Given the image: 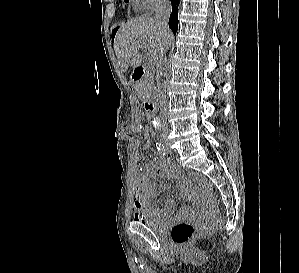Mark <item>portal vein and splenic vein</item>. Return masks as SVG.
<instances>
[{
    "mask_svg": "<svg viewBox=\"0 0 299 273\" xmlns=\"http://www.w3.org/2000/svg\"><path fill=\"white\" fill-rule=\"evenodd\" d=\"M140 47H141V48H145V49H147V46H146L145 44H142ZM146 60H147L148 62H150V63L153 62V59H152L150 56L147 57Z\"/></svg>",
    "mask_w": 299,
    "mask_h": 273,
    "instance_id": "1",
    "label": "portal vein and splenic vein"
}]
</instances>
